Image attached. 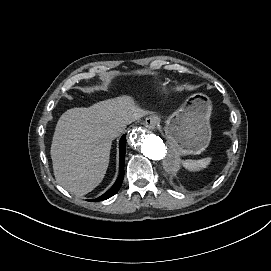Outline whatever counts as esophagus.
<instances>
[{
	"label": "esophagus",
	"mask_w": 271,
	"mask_h": 271,
	"mask_svg": "<svg viewBox=\"0 0 271 271\" xmlns=\"http://www.w3.org/2000/svg\"><path fill=\"white\" fill-rule=\"evenodd\" d=\"M158 123V118L155 115H150L145 119V126L149 129H155Z\"/></svg>",
	"instance_id": "esophagus-1"
}]
</instances>
